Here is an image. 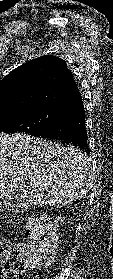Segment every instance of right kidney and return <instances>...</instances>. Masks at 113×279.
<instances>
[{
    "label": "right kidney",
    "instance_id": "ca27d5eb",
    "mask_svg": "<svg viewBox=\"0 0 113 279\" xmlns=\"http://www.w3.org/2000/svg\"><path fill=\"white\" fill-rule=\"evenodd\" d=\"M63 220L64 217H62L61 215L56 217L55 224L53 225V229L55 231H57L59 229V226L62 225Z\"/></svg>",
    "mask_w": 113,
    "mask_h": 279
}]
</instances>
